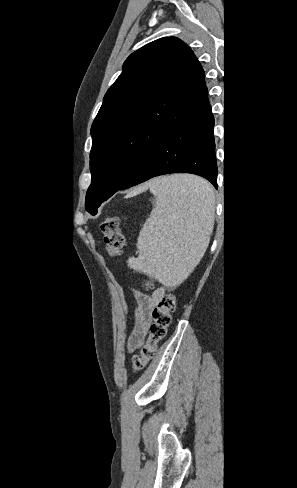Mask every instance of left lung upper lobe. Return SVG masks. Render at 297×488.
Instances as JSON below:
<instances>
[{
  "label": "left lung upper lobe",
  "instance_id": "5c2ea615",
  "mask_svg": "<svg viewBox=\"0 0 297 488\" xmlns=\"http://www.w3.org/2000/svg\"><path fill=\"white\" fill-rule=\"evenodd\" d=\"M204 70L193 51L165 37L132 53L92 124L86 210L98 207L174 130L208 104Z\"/></svg>",
  "mask_w": 297,
  "mask_h": 488
}]
</instances>
